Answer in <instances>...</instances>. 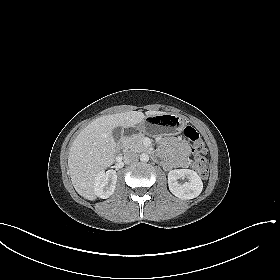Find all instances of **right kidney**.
I'll return each mask as SVG.
<instances>
[{
  "label": "right kidney",
  "mask_w": 280,
  "mask_h": 280,
  "mask_svg": "<svg viewBox=\"0 0 280 280\" xmlns=\"http://www.w3.org/2000/svg\"><path fill=\"white\" fill-rule=\"evenodd\" d=\"M117 173L115 170L101 171L94 179L95 194L102 198H109L116 188Z\"/></svg>",
  "instance_id": "right-kidney-1"
}]
</instances>
